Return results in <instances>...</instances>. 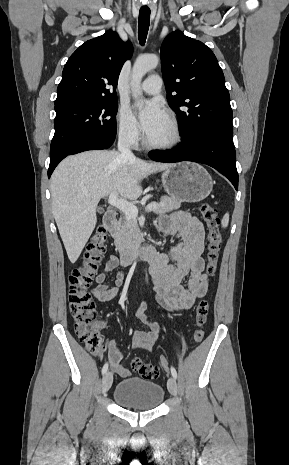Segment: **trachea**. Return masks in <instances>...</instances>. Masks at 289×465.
I'll use <instances>...</instances> for the list:
<instances>
[{
	"label": "trachea",
	"mask_w": 289,
	"mask_h": 465,
	"mask_svg": "<svg viewBox=\"0 0 289 465\" xmlns=\"http://www.w3.org/2000/svg\"><path fill=\"white\" fill-rule=\"evenodd\" d=\"M150 24V10L140 9L138 19V39L141 45L145 44Z\"/></svg>",
	"instance_id": "obj_1"
}]
</instances>
